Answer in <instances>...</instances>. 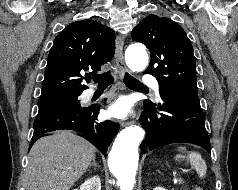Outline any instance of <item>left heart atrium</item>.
Segmentation results:
<instances>
[{
	"label": "left heart atrium",
	"instance_id": "obj_1",
	"mask_svg": "<svg viewBox=\"0 0 238 190\" xmlns=\"http://www.w3.org/2000/svg\"><path fill=\"white\" fill-rule=\"evenodd\" d=\"M132 112V102L129 97L121 96L112 102L107 108L110 117L123 119Z\"/></svg>",
	"mask_w": 238,
	"mask_h": 190
}]
</instances>
